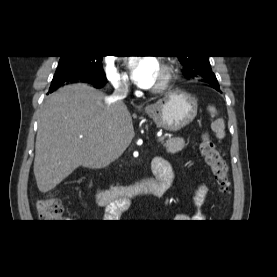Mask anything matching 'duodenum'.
Wrapping results in <instances>:
<instances>
[{
    "label": "duodenum",
    "instance_id": "410a0bca",
    "mask_svg": "<svg viewBox=\"0 0 277 277\" xmlns=\"http://www.w3.org/2000/svg\"><path fill=\"white\" fill-rule=\"evenodd\" d=\"M154 162L158 165L160 175L157 180L144 179L128 186L116 187L113 189L96 188V199L100 206H111L116 214L129 206L132 198L153 194L161 197L162 184L171 181V170L167 162L161 158H155ZM91 185L93 183L91 182Z\"/></svg>",
    "mask_w": 277,
    "mask_h": 277
}]
</instances>
